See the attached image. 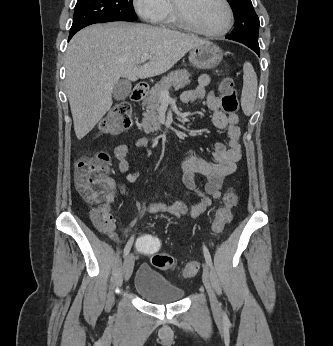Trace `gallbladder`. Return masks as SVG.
<instances>
[{
	"label": "gallbladder",
	"mask_w": 333,
	"mask_h": 346,
	"mask_svg": "<svg viewBox=\"0 0 333 346\" xmlns=\"http://www.w3.org/2000/svg\"><path fill=\"white\" fill-rule=\"evenodd\" d=\"M131 82L128 80H120L117 82V84L114 86L113 89V97L117 101L124 100L131 92Z\"/></svg>",
	"instance_id": "1"
}]
</instances>
